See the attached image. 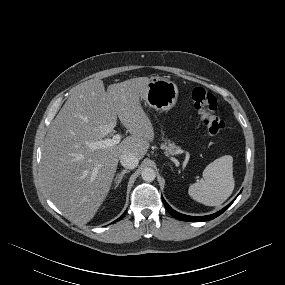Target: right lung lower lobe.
Instances as JSON below:
<instances>
[{
	"label": "right lung lower lobe",
	"mask_w": 285,
	"mask_h": 285,
	"mask_svg": "<svg viewBox=\"0 0 285 285\" xmlns=\"http://www.w3.org/2000/svg\"><path fill=\"white\" fill-rule=\"evenodd\" d=\"M124 215H125V213H124L120 218H118L116 221L120 220ZM116 221H115V222H116Z\"/></svg>",
	"instance_id": "obj_1"
}]
</instances>
